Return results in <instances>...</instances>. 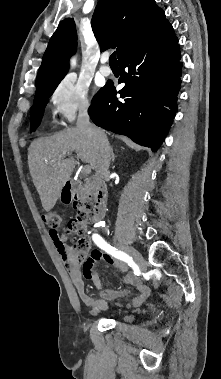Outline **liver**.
I'll list each match as a JSON object with an SVG mask.
<instances>
[{
    "instance_id": "1",
    "label": "liver",
    "mask_w": 221,
    "mask_h": 379,
    "mask_svg": "<svg viewBox=\"0 0 221 379\" xmlns=\"http://www.w3.org/2000/svg\"><path fill=\"white\" fill-rule=\"evenodd\" d=\"M74 151L83 162L96 169L98 142L79 128L36 139L28 149L30 174L47 212L55 206L61 189L70 179L75 167Z\"/></svg>"
}]
</instances>
